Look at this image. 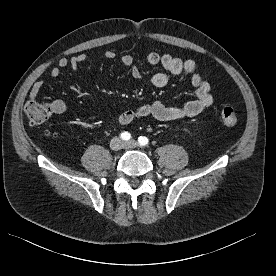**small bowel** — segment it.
Wrapping results in <instances>:
<instances>
[{"mask_svg": "<svg viewBox=\"0 0 276 276\" xmlns=\"http://www.w3.org/2000/svg\"><path fill=\"white\" fill-rule=\"evenodd\" d=\"M107 60H113L116 54L112 50L104 52ZM86 54L81 53L69 58L62 57L58 60L57 66L50 69V75L57 78L61 74V70L71 67L75 72H79V68L87 61ZM121 63L130 67L131 76L140 80L143 78L141 70L135 65L134 58L131 55H123L120 59ZM145 61L151 65H161L166 72H156L150 77V83L155 87H164L168 84L172 76L186 74L190 78V82L195 89V99L187 102L182 107H170L161 102L143 105L134 110H127L122 113L117 121L122 124H128L135 119L152 116L161 121H173L183 117L195 116L209 107L213 103L210 84L204 80L198 73L197 64L194 60H183L172 55H161L158 53H149L145 56ZM44 85L43 80L36 81L30 89V97L36 98L40 94ZM52 109L55 114H63L67 105L61 99L52 102Z\"/></svg>", "mask_w": 276, "mask_h": 276, "instance_id": "small-bowel-1", "label": "small bowel"}]
</instances>
